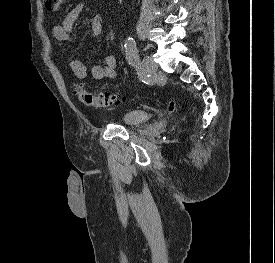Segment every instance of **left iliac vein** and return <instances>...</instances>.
Masks as SVG:
<instances>
[{
  "instance_id": "obj_1",
  "label": "left iliac vein",
  "mask_w": 275,
  "mask_h": 263,
  "mask_svg": "<svg viewBox=\"0 0 275 263\" xmlns=\"http://www.w3.org/2000/svg\"><path fill=\"white\" fill-rule=\"evenodd\" d=\"M157 69L158 66L154 62L153 58L150 55H145L140 65L141 72L145 76L152 78L156 74Z\"/></svg>"
}]
</instances>
